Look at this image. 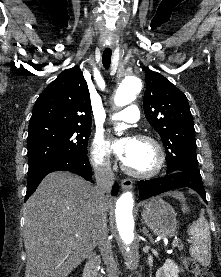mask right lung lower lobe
<instances>
[{
	"instance_id": "98d812e1",
	"label": "right lung lower lobe",
	"mask_w": 221,
	"mask_h": 277,
	"mask_svg": "<svg viewBox=\"0 0 221 277\" xmlns=\"http://www.w3.org/2000/svg\"><path fill=\"white\" fill-rule=\"evenodd\" d=\"M62 170L76 173L88 181L92 180V168L87 155H74L63 160L47 163L35 171L28 173V184L25 201L35 191L38 184L47 174ZM118 189V184H115L112 188V195H116L118 193Z\"/></svg>"
}]
</instances>
